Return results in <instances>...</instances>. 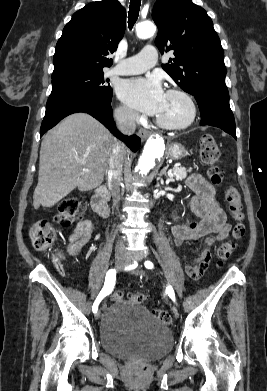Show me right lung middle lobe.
<instances>
[{
	"label": "right lung middle lobe",
	"instance_id": "dd1d6c3e",
	"mask_svg": "<svg viewBox=\"0 0 267 391\" xmlns=\"http://www.w3.org/2000/svg\"><path fill=\"white\" fill-rule=\"evenodd\" d=\"M103 75V71H74L52 76V92L49 98L80 93L110 99L113 90L106 85L108 80L105 81Z\"/></svg>",
	"mask_w": 267,
	"mask_h": 391
}]
</instances>
